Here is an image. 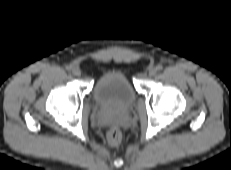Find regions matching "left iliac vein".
<instances>
[{
  "label": "left iliac vein",
  "mask_w": 231,
  "mask_h": 170,
  "mask_svg": "<svg viewBox=\"0 0 231 170\" xmlns=\"http://www.w3.org/2000/svg\"><path fill=\"white\" fill-rule=\"evenodd\" d=\"M156 72H157L156 68L152 67L149 69L148 73H149V76H155Z\"/></svg>",
  "instance_id": "obj_1"
}]
</instances>
